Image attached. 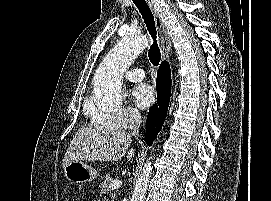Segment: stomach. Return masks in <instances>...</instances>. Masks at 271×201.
Segmentation results:
<instances>
[{
	"label": "stomach",
	"instance_id": "0dacf381",
	"mask_svg": "<svg viewBox=\"0 0 271 201\" xmlns=\"http://www.w3.org/2000/svg\"><path fill=\"white\" fill-rule=\"evenodd\" d=\"M66 179L73 184L91 182L98 177V172L83 161H74L64 167Z\"/></svg>",
	"mask_w": 271,
	"mask_h": 201
}]
</instances>
